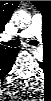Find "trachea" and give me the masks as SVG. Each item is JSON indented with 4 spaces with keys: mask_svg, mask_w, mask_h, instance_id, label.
Listing matches in <instances>:
<instances>
[{
    "mask_svg": "<svg viewBox=\"0 0 51 101\" xmlns=\"http://www.w3.org/2000/svg\"><path fill=\"white\" fill-rule=\"evenodd\" d=\"M30 45H35V43L33 41H29ZM6 45L11 46V47H17L20 45V41L19 40H11L9 42H6Z\"/></svg>",
    "mask_w": 51,
    "mask_h": 101,
    "instance_id": "trachea-1",
    "label": "trachea"
}]
</instances>
